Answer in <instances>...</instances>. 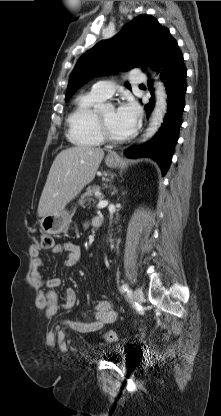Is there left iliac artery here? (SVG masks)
Here are the masks:
<instances>
[{"mask_svg":"<svg viewBox=\"0 0 221 416\" xmlns=\"http://www.w3.org/2000/svg\"><path fill=\"white\" fill-rule=\"evenodd\" d=\"M121 292H129V286L127 284H123L120 288Z\"/></svg>","mask_w":221,"mask_h":416,"instance_id":"1","label":"left iliac artery"}]
</instances>
